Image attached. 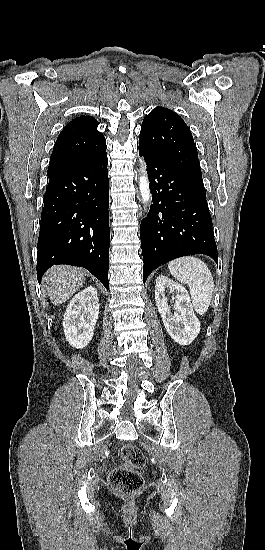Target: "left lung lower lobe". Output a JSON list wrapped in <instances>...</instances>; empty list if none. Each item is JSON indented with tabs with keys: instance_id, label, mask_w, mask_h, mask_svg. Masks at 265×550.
Segmentation results:
<instances>
[{
	"instance_id": "obj_1",
	"label": "left lung lower lobe",
	"mask_w": 265,
	"mask_h": 550,
	"mask_svg": "<svg viewBox=\"0 0 265 550\" xmlns=\"http://www.w3.org/2000/svg\"><path fill=\"white\" fill-rule=\"evenodd\" d=\"M146 160L152 202L141 221L143 282L178 257L205 254L218 263L203 182L139 146Z\"/></svg>"
}]
</instances>
